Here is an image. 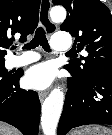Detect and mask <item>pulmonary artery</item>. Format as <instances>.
Listing matches in <instances>:
<instances>
[{"instance_id": "1", "label": "pulmonary artery", "mask_w": 112, "mask_h": 135, "mask_svg": "<svg viewBox=\"0 0 112 135\" xmlns=\"http://www.w3.org/2000/svg\"><path fill=\"white\" fill-rule=\"evenodd\" d=\"M51 46L57 51H67L71 47V39L67 34L56 33L51 40ZM40 56L34 52H26L11 59L12 67H18L37 61Z\"/></svg>"}]
</instances>
